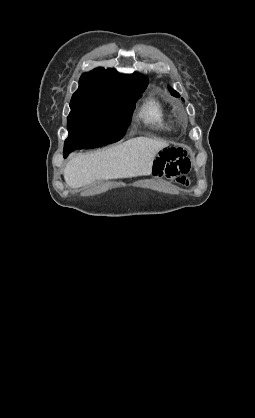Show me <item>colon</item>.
Here are the masks:
<instances>
[{"instance_id":"1","label":"colon","mask_w":255,"mask_h":418,"mask_svg":"<svg viewBox=\"0 0 255 418\" xmlns=\"http://www.w3.org/2000/svg\"><path fill=\"white\" fill-rule=\"evenodd\" d=\"M190 169L191 164L187 151L181 147H171L163 150L153 165L155 176H164L181 183H186L185 175Z\"/></svg>"}]
</instances>
